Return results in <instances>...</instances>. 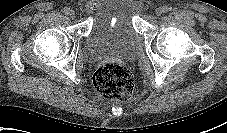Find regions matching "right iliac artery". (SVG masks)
Masks as SVG:
<instances>
[{
	"label": "right iliac artery",
	"mask_w": 227,
	"mask_h": 133,
	"mask_svg": "<svg viewBox=\"0 0 227 133\" xmlns=\"http://www.w3.org/2000/svg\"><path fill=\"white\" fill-rule=\"evenodd\" d=\"M63 12H64L65 15H69L70 8L69 7H65Z\"/></svg>",
	"instance_id": "obj_1"
}]
</instances>
